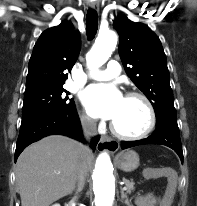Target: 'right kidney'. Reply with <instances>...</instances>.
I'll return each mask as SVG.
<instances>
[{"label": "right kidney", "instance_id": "obj_1", "mask_svg": "<svg viewBox=\"0 0 197 206\" xmlns=\"http://www.w3.org/2000/svg\"><path fill=\"white\" fill-rule=\"evenodd\" d=\"M52 206H60L59 204H54V205H52Z\"/></svg>", "mask_w": 197, "mask_h": 206}]
</instances>
